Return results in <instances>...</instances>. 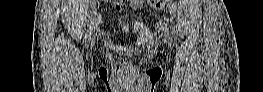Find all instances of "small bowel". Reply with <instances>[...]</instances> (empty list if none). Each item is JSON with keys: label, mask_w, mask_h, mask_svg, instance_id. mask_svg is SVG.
<instances>
[{"label": "small bowel", "mask_w": 263, "mask_h": 92, "mask_svg": "<svg viewBox=\"0 0 263 92\" xmlns=\"http://www.w3.org/2000/svg\"><path fill=\"white\" fill-rule=\"evenodd\" d=\"M135 3H137V6L142 4V1H135Z\"/></svg>", "instance_id": "small-bowel-1"}]
</instances>
